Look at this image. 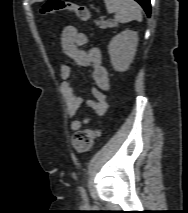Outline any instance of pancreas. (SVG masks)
Returning a JSON list of instances; mask_svg holds the SVG:
<instances>
[{
    "label": "pancreas",
    "instance_id": "cf45deb5",
    "mask_svg": "<svg viewBox=\"0 0 188 213\" xmlns=\"http://www.w3.org/2000/svg\"><path fill=\"white\" fill-rule=\"evenodd\" d=\"M96 25L100 26L101 29H106V28H114L117 26V22L115 21H95Z\"/></svg>",
    "mask_w": 188,
    "mask_h": 213
}]
</instances>
